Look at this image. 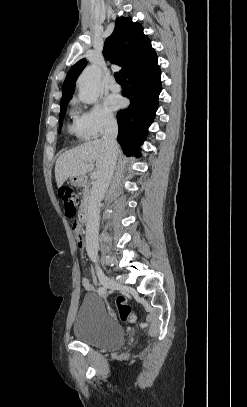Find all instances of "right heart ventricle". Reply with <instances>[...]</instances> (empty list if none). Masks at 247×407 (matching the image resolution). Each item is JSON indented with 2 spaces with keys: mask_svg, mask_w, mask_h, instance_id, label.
<instances>
[{
  "mask_svg": "<svg viewBox=\"0 0 247 407\" xmlns=\"http://www.w3.org/2000/svg\"><path fill=\"white\" fill-rule=\"evenodd\" d=\"M71 115L73 116V122L68 125V131L79 139H85L84 133L77 122L76 112L71 111Z\"/></svg>",
  "mask_w": 247,
  "mask_h": 407,
  "instance_id": "1",
  "label": "right heart ventricle"
}]
</instances>
